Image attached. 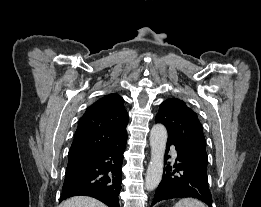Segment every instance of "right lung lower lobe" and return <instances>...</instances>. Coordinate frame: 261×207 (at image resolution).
I'll use <instances>...</instances> for the list:
<instances>
[{
  "instance_id": "98d812e1",
  "label": "right lung lower lobe",
  "mask_w": 261,
  "mask_h": 207,
  "mask_svg": "<svg viewBox=\"0 0 261 207\" xmlns=\"http://www.w3.org/2000/svg\"><path fill=\"white\" fill-rule=\"evenodd\" d=\"M126 142L68 160L60 202L72 196L94 197L119 207L123 153Z\"/></svg>"
}]
</instances>
